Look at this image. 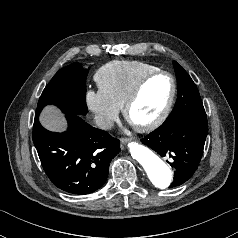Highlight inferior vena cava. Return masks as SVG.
I'll use <instances>...</instances> for the list:
<instances>
[{
	"label": "inferior vena cava",
	"instance_id": "602c4592",
	"mask_svg": "<svg viewBox=\"0 0 238 238\" xmlns=\"http://www.w3.org/2000/svg\"><path fill=\"white\" fill-rule=\"evenodd\" d=\"M95 122L101 129H111L114 126V121L112 119L102 115L95 116Z\"/></svg>",
	"mask_w": 238,
	"mask_h": 238
}]
</instances>
